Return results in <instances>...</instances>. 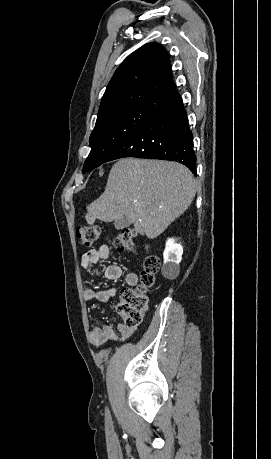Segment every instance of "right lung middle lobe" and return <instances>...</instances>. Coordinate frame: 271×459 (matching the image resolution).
Returning <instances> with one entry per match:
<instances>
[{
    "mask_svg": "<svg viewBox=\"0 0 271 459\" xmlns=\"http://www.w3.org/2000/svg\"><path fill=\"white\" fill-rule=\"evenodd\" d=\"M155 114L148 109L134 108L97 118L90 135L91 152L84 170L90 171L105 163L119 145Z\"/></svg>",
    "mask_w": 271,
    "mask_h": 459,
    "instance_id": "dd1d6c3e",
    "label": "right lung middle lobe"
}]
</instances>
